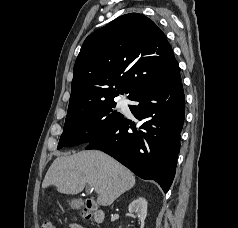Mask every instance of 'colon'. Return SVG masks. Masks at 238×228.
Returning a JSON list of instances; mask_svg holds the SVG:
<instances>
[{
	"label": "colon",
	"instance_id": "colon-1",
	"mask_svg": "<svg viewBox=\"0 0 238 228\" xmlns=\"http://www.w3.org/2000/svg\"><path fill=\"white\" fill-rule=\"evenodd\" d=\"M82 216L86 219H90L92 217V214L89 210H84L82 212ZM41 228H56V226L52 222L44 221L41 225Z\"/></svg>",
	"mask_w": 238,
	"mask_h": 228
}]
</instances>
